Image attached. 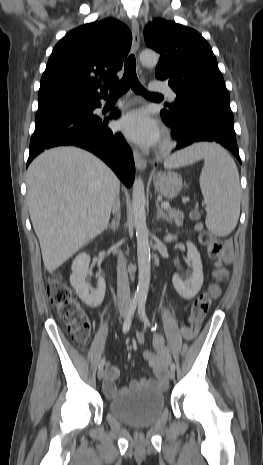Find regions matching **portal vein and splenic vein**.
I'll return each mask as SVG.
<instances>
[{
    "instance_id": "portal-vein-and-splenic-vein-1",
    "label": "portal vein and splenic vein",
    "mask_w": 263,
    "mask_h": 465,
    "mask_svg": "<svg viewBox=\"0 0 263 465\" xmlns=\"http://www.w3.org/2000/svg\"><path fill=\"white\" fill-rule=\"evenodd\" d=\"M161 207H162L163 209H169V208H170V205H169V203L164 202V203L161 204Z\"/></svg>"
}]
</instances>
